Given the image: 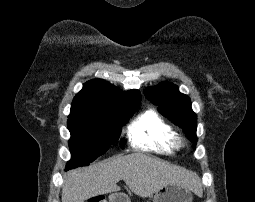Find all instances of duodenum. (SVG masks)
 <instances>
[{"label":"duodenum","mask_w":255,"mask_h":202,"mask_svg":"<svg viewBox=\"0 0 255 202\" xmlns=\"http://www.w3.org/2000/svg\"><path fill=\"white\" fill-rule=\"evenodd\" d=\"M112 201H113V202H119V199L113 198Z\"/></svg>","instance_id":"obj_1"}]
</instances>
